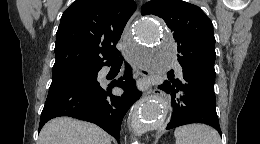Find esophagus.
<instances>
[{"label": "esophagus", "instance_id": "esophagus-1", "mask_svg": "<svg viewBox=\"0 0 260 144\" xmlns=\"http://www.w3.org/2000/svg\"><path fill=\"white\" fill-rule=\"evenodd\" d=\"M140 7L141 5L139 4L137 7L136 12L134 13V15L132 16V18L129 20V22L127 23L126 27H125V33H127L131 27V23L132 21L137 17V15L140 13ZM135 68L137 70V73L142 76L143 78H149L150 77V71L148 69H146L145 67L141 66V65H135ZM160 90L157 87L151 88L149 90V94L151 95H159Z\"/></svg>", "mask_w": 260, "mask_h": 144}]
</instances>
